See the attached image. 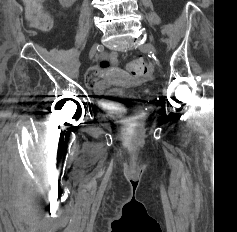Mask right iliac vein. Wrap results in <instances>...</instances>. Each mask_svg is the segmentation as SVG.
Instances as JSON below:
<instances>
[{
  "label": "right iliac vein",
  "instance_id": "right-iliac-vein-1",
  "mask_svg": "<svg viewBox=\"0 0 237 232\" xmlns=\"http://www.w3.org/2000/svg\"><path fill=\"white\" fill-rule=\"evenodd\" d=\"M98 46L99 45L97 43L93 44L89 52V58H92L95 55Z\"/></svg>",
  "mask_w": 237,
  "mask_h": 232
}]
</instances>
